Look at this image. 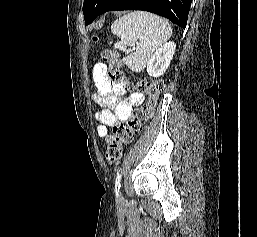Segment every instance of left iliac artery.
I'll use <instances>...</instances> for the list:
<instances>
[{
    "label": "left iliac artery",
    "instance_id": "1",
    "mask_svg": "<svg viewBox=\"0 0 257 237\" xmlns=\"http://www.w3.org/2000/svg\"><path fill=\"white\" fill-rule=\"evenodd\" d=\"M121 174H118L115 180V193L118 195L120 189V182H121Z\"/></svg>",
    "mask_w": 257,
    "mask_h": 237
}]
</instances>
